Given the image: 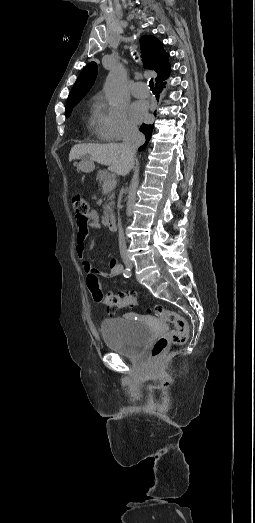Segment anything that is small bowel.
Masks as SVG:
<instances>
[{
  "label": "small bowel",
  "mask_w": 255,
  "mask_h": 523,
  "mask_svg": "<svg viewBox=\"0 0 255 523\" xmlns=\"http://www.w3.org/2000/svg\"><path fill=\"white\" fill-rule=\"evenodd\" d=\"M90 229H102L100 217L96 211H91L87 214L85 223L81 224L78 222L76 254L77 257L81 260L85 272L87 275L95 274L107 279L117 277L122 273L123 266L116 260H111L110 268L107 272L93 269L91 264L86 260V242L89 237ZM95 246L96 245L94 241H90L88 244L89 249H94Z\"/></svg>",
  "instance_id": "small-bowel-1"
}]
</instances>
